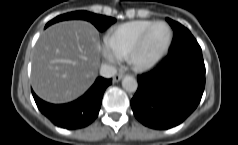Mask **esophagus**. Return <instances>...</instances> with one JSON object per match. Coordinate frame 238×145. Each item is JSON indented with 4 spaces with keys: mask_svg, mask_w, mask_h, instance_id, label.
<instances>
[{
    "mask_svg": "<svg viewBox=\"0 0 238 145\" xmlns=\"http://www.w3.org/2000/svg\"><path fill=\"white\" fill-rule=\"evenodd\" d=\"M123 77H124V74L118 73L113 77V82L116 83V82L120 81Z\"/></svg>",
    "mask_w": 238,
    "mask_h": 145,
    "instance_id": "esophagus-1",
    "label": "esophagus"
}]
</instances>
